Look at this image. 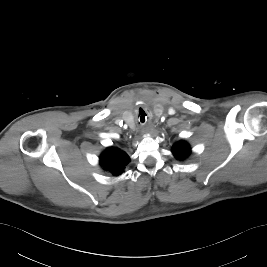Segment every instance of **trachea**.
I'll use <instances>...</instances> for the list:
<instances>
[{
	"label": "trachea",
	"instance_id": "trachea-1",
	"mask_svg": "<svg viewBox=\"0 0 267 267\" xmlns=\"http://www.w3.org/2000/svg\"><path fill=\"white\" fill-rule=\"evenodd\" d=\"M146 114L145 113H139V115H138V120L140 121V123L141 124H143V123H145L146 122V119H148V118H146Z\"/></svg>",
	"mask_w": 267,
	"mask_h": 267
}]
</instances>
